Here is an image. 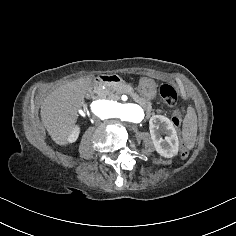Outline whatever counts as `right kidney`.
Here are the masks:
<instances>
[{
	"label": "right kidney",
	"mask_w": 236,
	"mask_h": 236,
	"mask_svg": "<svg viewBox=\"0 0 236 236\" xmlns=\"http://www.w3.org/2000/svg\"><path fill=\"white\" fill-rule=\"evenodd\" d=\"M79 133L80 127L78 125L74 126L73 129L69 132L66 141L68 143H74L77 140Z\"/></svg>",
	"instance_id": "ca27d5eb"
}]
</instances>
